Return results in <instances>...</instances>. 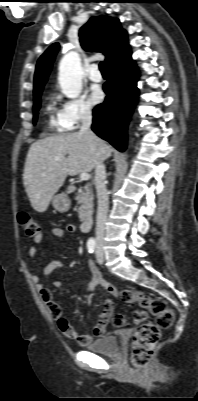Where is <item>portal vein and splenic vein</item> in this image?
I'll return each mask as SVG.
<instances>
[{
    "label": "portal vein and splenic vein",
    "instance_id": "18ae733b",
    "mask_svg": "<svg viewBox=\"0 0 198 401\" xmlns=\"http://www.w3.org/2000/svg\"><path fill=\"white\" fill-rule=\"evenodd\" d=\"M89 178H90V175L88 173H86V172H83V173L80 174V179L82 181H87V180H89Z\"/></svg>",
    "mask_w": 198,
    "mask_h": 401
}]
</instances>
